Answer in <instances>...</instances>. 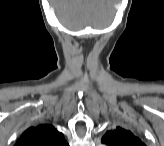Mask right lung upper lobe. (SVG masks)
<instances>
[{
    "label": "right lung upper lobe",
    "mask_w": 164,
    "mask_h": 146,
    "mask_svg": "<svg viewBox=\"0 0 164 146\" xmlns=\"http://www.w3.org/2000/svg\"><path fill=\"white\" fill-rule=\"evenodd\" d=\"M62 133L52 125L41 124L27 129L15 146H66Z\"/></svg>",
    "instance_id": "cb5924a9"
}]
</instances>
